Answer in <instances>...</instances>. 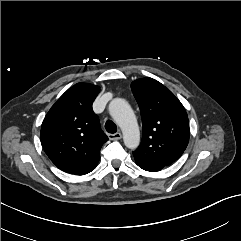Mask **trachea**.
I'll return each mask as SVG.
<instances>
[{
	"instance_id": "3493384b",
	"label": "trachea",
	"mask_w": 241,
	"mask_h": 241,
	"mask_svg": "<svg viewBox=\"0 0 241 241\" xmlns=\"http://www.w3.org/2000/svg\"><path fill=\"white\" fill-rule=\"evenodd\" d=\"M105 129L108 133L114 134L117 132V126L116 124L111 121V120H107L105 123Z\"/></svg>"
}]
</instances>
